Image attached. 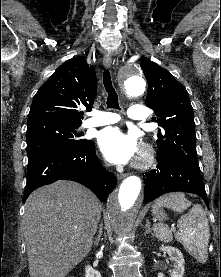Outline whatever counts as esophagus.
<instances>
[{"mask_svg":"<svg viewBox=\"0 0 221 277\" xmlns=\"http://www.w3.org/2000/svg\"><path fill=\"white\" fill-rule=\"evenodd\" d=\"M103 65L105 68H110L112 65V59L108 53L105 54V56L103 58ZM126 176H127V174L121 173V174L117 175V178L121 180V179L125 178Z\"/></svg>","mask_w":221,"mask_h":277,"instance_id":"34e87169","label":"esophagus"}]
</instances>
